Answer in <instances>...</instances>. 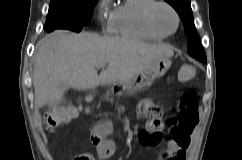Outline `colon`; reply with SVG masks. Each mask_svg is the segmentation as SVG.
<instances>
[{"instance_id": "obj_1", "label": "colon", "mask_w": 242, "mask_h": 160, "mask_svg": "<svg viewBox=\"0 0 242 160\" xmlns=\"http://www.w3.org/2000/svg\"><path fill=\"white\" fill-rule=\"evenodd\" d=\"M197 75V67L195 65H184L179 73V79L183 82L193 80ZM79 108L76 106L58 107L47 113L45 116L46 128L48 131H54L60 126L69 123L77 117ZM145 113L150 118V122L145 130L139 135V142L142 145H156L162 140L160 132V117L162 109L155 105H147ZM198 122V98L197 93L189 89L184 92L181 102L179 104L177 119H171L170 123L175 129L172 130L171 135L185 145L184 133H190ZM99 156L106 157L109 155L107 150H100L97 153ZM74 160H94L91 154H80Z\"/></svg>"}]
</instances>
